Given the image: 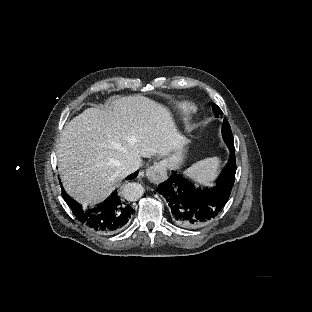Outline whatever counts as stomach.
I'll list each match as a JSON object with an SVG mask.
<instances>
[{
  "instance_id": "obj_1",
  "label": "stomach",
  "mask_w": 312,
  "mask_h": 312,
  "mask_svg": "<svg viewBox=\"0 0 312 312\" xmlns=\"http://www.w3.org/2000/svg\"><path fill=\"white\" fill-rule=\"evenodd\" d=\"M181 146H180V150L170 154L164 161H162L163 165L167 168V169H173L174 167H178L179 165H181L183 163V159L181 157V152L182 150L185 148L186 144H187V140L183 139V141L180 142Z\"/></svg>"
}]
</instances>
